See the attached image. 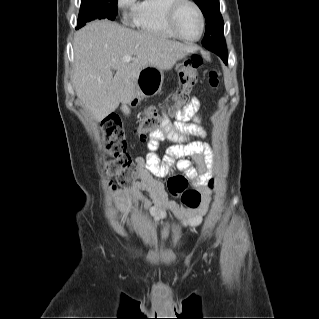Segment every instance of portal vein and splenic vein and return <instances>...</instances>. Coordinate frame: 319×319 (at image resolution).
<instances>
[{"label":"portal vein and splenic vein","mask_w":319,"mask_h":319,"mask_svg":"<svg viewBox=\"0 0 319 319\" xmlns=\"http://www.w3.org/2000/svg\"><path fill=\"white\" fill-rule=\"evenodd\" d=\"M133 58L131 56H123L122 60L123 61H131Z\"/></svg>","instance_id":"obj_1"}]
</instances>
